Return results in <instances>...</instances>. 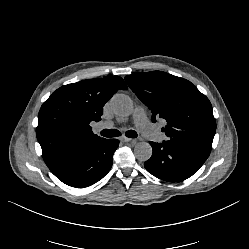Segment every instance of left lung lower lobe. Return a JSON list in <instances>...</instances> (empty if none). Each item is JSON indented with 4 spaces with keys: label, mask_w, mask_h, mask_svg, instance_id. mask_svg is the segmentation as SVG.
<instances>
[{
    "label": "left lung lower lobe",
    "mask_w": 249,
    "mask_h": 249,
    "mask_svg": "<svg viewBox=\"0 0 249 249\" xmlns=\"http://www.w3.org/2000/svg\"><path fill=\"white\" fill-rule=\"evenodd\" d=\"M153 153L144 163L146 170L168 182L183 181L192 176L206 161L209 152L168 142H150Z\"/></svg>",
    "instance_id": "left-lung-lower-lobe-1"
}]
</instances>
